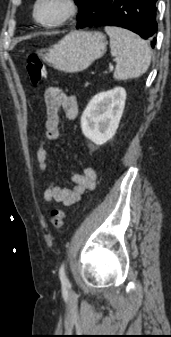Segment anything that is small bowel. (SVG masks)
Wrapping results in <instances>:
<instances>
[{
	"instance_id": "c3829d8e",
	"label": "small bowel",
	"mask_w": 171,
	"mask_h": 337,
	"mask_svg": "<svg viewBox=\"0 0 171 337\" xmlns=\"http://www.w3.org/2000/svg\"><path fill=\"white\" fill-rule=\"evenodd\" d=\"M46 120V135L39 142L36 157L39 170L47 169L48 152L46 146L60 137L62 117L73 120L78 114V104L75 96L67 94L59 87L51 86L44 94ZM96 171L92 167H85L81 173L71 176V187H65L56 181H51L43 193V202H59L65 206L77 203L85 190H91L96 184Z\"/></svg>"
}]
</instances>
